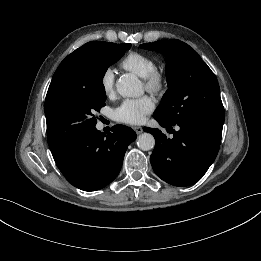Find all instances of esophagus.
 <instances>
[{
	"mask_svg": "<svg viewBox=\"0 0 261 261\" xmlns=\"http://www.w3.org/2000/svg\"><path fill=\"white\" fill-rule=\"evenodd\" d=\"M134 131L136 132V134H141L143 132V128L140 126H135Z\"/></svg>",
	"mask_w": 261,
	"mask_h": 261,
	"instance_id": "34e87169",
	"label": "esophagus"
}]
</instances>
